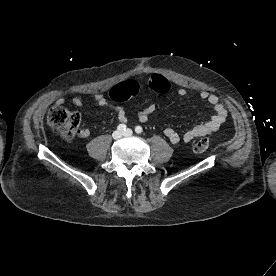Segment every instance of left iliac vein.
<instances>
[{"mask_svg": "<svg viewBox=\"0 0 276 276\" xmlns=\"http://www.w3.org/2000/svg\"><path fill=\"white\" fill-rule=\"evenodd\" d=\"M133 134V131L131 129H126L124 132H123V135L124 136H130Z\"/></svg>", "mask_w": 276, "mask_h": 276, "instance_id": "4c4485c4", "label": "left iliac vein"}]
</instances>
